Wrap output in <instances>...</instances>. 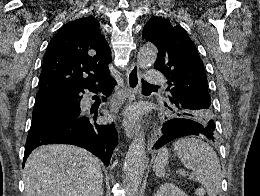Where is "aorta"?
Masks as SVG:
<instances>
[{
  "label": "aorta",
  "mask_w": 260,
  "mask_h": 196,
  "mask_svg": "<svg viewBox=\"0 0 260 196\" xmlns=\"http://www.w3.org/2000/svg\"><path fill=\"white\" fill-rule=\"evenodd\" d=\"M157 49L153 45H146L137 54V62L141 68L153 65L157 58ZM148 159L145 152V135H136L129 146L123 167L124 186L129 196H134L142 181Z\"/></svg>",
  "instance_id": "762f6f07"
}]
</instances>
